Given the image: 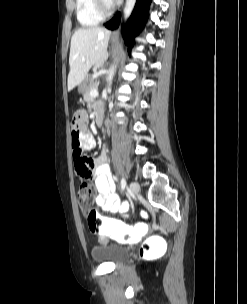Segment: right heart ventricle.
<instances>
[{"label": "right heart ventricle", "instance_id": "1", "mask_svg": "<svg viewBox=\"0 0 247 304\" xmlns=\"http://www.w3.org/2000/svg\"><path fill=\"white\" fill-rule=\"evenodd\" d=\"M76 17L83 27L96 26L102 21L94 10L93 0H76Z\"/></svg>", "mask_w": 247, "mask_h": 304}]
</instances>
